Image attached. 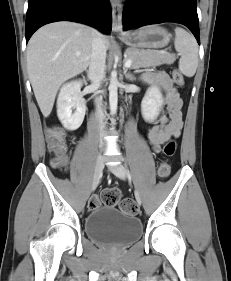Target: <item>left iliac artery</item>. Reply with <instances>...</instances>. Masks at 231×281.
<instances>
[{
  "instance_id": "obj_1",
  "label": "left iliac artery",
  "mask_w": 231,
  "mask_h": 281,
  "mask_svg": "<svg viewBox=\"0 0 231 281\" xmlns=\"http://www.w3.org/2000/svg\"><path fill=\"white\" fill-rule=\"evenodd\" d=\"M127 171H128V175L130 176V172H129V170L127 169Z\"/></svg>"
}]
</instances>
